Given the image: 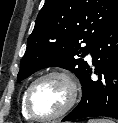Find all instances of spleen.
Returning <instances> with one entry per match:
<instances>
[{
    "label": "spleen",
    "instance_id": "1",
    "mask_svg": "<svg viewBox=\"0 0 118 123\" xmlns=\"http://www.w3.org/2000/svg\"><path fill=\"white\" fill-rule=\"evenodd\" d=\"M88 123H114V121L109 119H89Z\"/></svg>",
    "mask_w": 118,
    "mask_h": 123
}]
</instances>
